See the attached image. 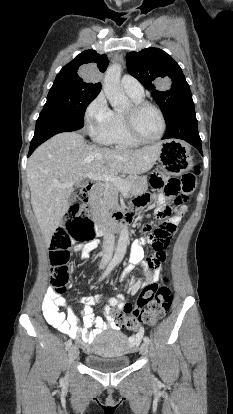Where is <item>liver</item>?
<instances>
[{
    "label": "liver",
    "instance_id": "6515ba94",
    "mask_svg": "<svg viewBox=\"0 0 233 414\" xmlns=\"http://www.w3.org/2000/svg\"><path fill=\"white\" fill-rule=\"evenodd\" d=\"M160 144L111 149L87 144L77 132L56 134L40 145L27 164L31 205L45 242L68 210L74 186L90 174H141L155 164Z\"/></svg>",
    "mask_w": 233,
    "mask_h": 414
}]
</instances>
